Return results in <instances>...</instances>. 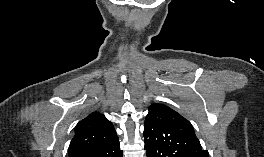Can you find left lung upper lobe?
<instances>
[{
	"label": "left lung upper lobe",
	"mask_w": 264,
	"mask_h": 157,
	"mask_svg": "<svg viewBox=\"0 0 264 157\" xmlns=\"http://www.w3.org/2000/svg\"><path fill=\"white\" fill-rule=\"evenodd\" d=\"M145 146L159 157H209L201 148L191 123L170 107L154 103L149 107L144 125Z\"/></svg>",
	"instance_id": "5c2ea615"
}]
</instances>
